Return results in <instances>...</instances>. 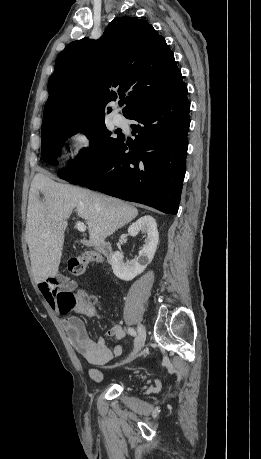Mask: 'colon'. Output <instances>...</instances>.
I'll return each instance as SVG.
<instances>
[{
	"label": "colon",
	"mask_w": 261,
	"mask_h": 459,
	"mask_svg": "<svg viewBox=\"0 0 261 459\" xmlns=\"http://www.w3.org/2000/svg\"><path fill=\"white\" fill-rule=\"evenodd\" d=\"M90 261H92L90 254L70 258L67 262V269L72 275H82ZM96 302V296L90 293L67 294L62 298L61 312L66 315L73 308H78L80 311L95 309Z\"/></svg>",
	"instance_id": "5ec220e1"
}]
</instances>
